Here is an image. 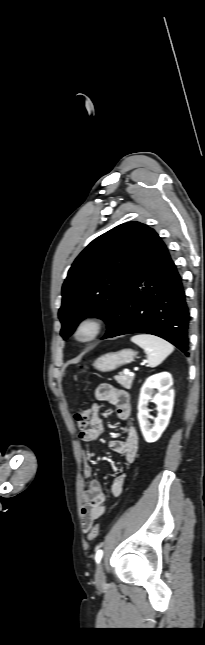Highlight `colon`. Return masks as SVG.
<instances>
[{"mask_svg":"<svg viewBox=\"0 0 205 645\" xmlns=\"http://www.w3.org/2000/svg\"><path fill=\"white\" fill-rule=\"evenodd\" d=\"M74 419L77 423L78 428L83 431L87 429V427L90 425L91 420H92V411L91 409H81L78 410L75 415ZM99 534V524H95L90 528L88 531V539L89 541H94L96 537Z\"/></svg>","mask_w":205,"mask_h":645,"instance_id":"5ec220e1","label":"colon"}]
</instances>
